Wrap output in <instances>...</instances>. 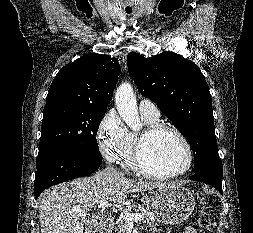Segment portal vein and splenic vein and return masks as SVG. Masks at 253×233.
Masks as SVG:
<instances>
[{
  "mask_svg": "<svg viewBox=\"0 0 253 233\" xmlns=\"http://www.w3.org/2000/svg\"><path fill=\"white\" fill-rule=\"evenodd\" d=\"M98 209L101 210H105L108 208H113V209H117L120 211V215L121 217L124 218L125 222L127 225H131L133 224L134 221H142L144 220V216L142 214L139 213H131L126 209H123L120 205H112L109 204L107 201H102L98 206ZM90 210H82V211H78L81 214H87Z\"/></svg>",
  "mask_w": 253,
  "mask_h": 233,
  "instance_id": "portal-vein-and-splenic-vein-1",
  "label": "portal vein and splenic vein"
}]
</instances>
